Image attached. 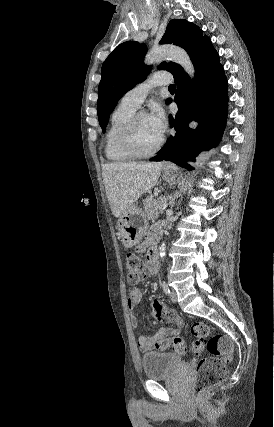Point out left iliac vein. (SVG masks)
Segmentation results:
<instances>
[{
    "label": "left iliac vein",
    "mask_w": 274,
    "mask_h": 427,
    "mask_svg": "<svg viewBox=\"0 0 274 427\" xmlns=\"http://www.w3.org/2000/svg\"><path fill=\"white\" fill-rule=\"evenodd\" d=\"M170 300L172 302H174V303L177 302V293H176V291H174V290L171 291Z\"/></svg>",
    "instance_id": "1"
}]
</instances>
